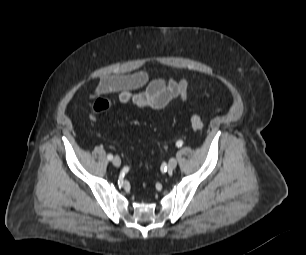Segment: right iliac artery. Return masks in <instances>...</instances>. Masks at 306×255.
I'll use <instances>...</instances> for the list:
<instances>
[{
  "instance_id": "1",
  "label": "right iliac artery",
  "mask_w": 306,
  "mask_h": 255,
  "mask_svg": "<svg viewBox=\"0 0 306 255\" xmlns=\"http://www.w3.org/2000/svg\"><path fill=\"white\" fill-rule=\"evenodd\" d=\"M107 159H108V160H112V159H113V155H112V154H108V155H107Z\"/></svg>"
}]
</instances>
